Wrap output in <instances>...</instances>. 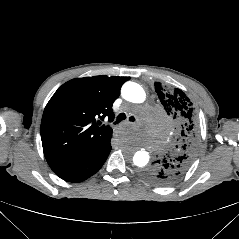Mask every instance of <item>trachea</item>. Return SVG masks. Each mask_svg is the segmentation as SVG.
<instances>
[{
    "label": "trachea",
    "mask_w": 239,
    "mask_h": 239,
    "mask_svg": "<svg viewBox=\"0 0 239 239\" xmlns=\"http://www.w3.org/2000/svg\"><path fill=\"white\" fill-rule=\"evenodd\" d=\"M126 118H127V117H126L125 113H120V114L118 115L117 120L115 121L114 124H118V123H120L121 121L125 120ZM129 120H130V121H135V118H134L133 116H130V117H129Z\"/></svg>",
    "instance_id": "3493384b"
}]
</instances>
